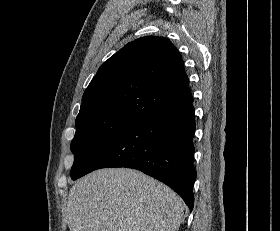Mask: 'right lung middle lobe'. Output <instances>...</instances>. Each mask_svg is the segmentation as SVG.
<instances>
[{"instance_id":"dd1d6c3e","label":"right lung middle lobe","mask_w":280,"mask_h":231,"mask_svg":"<svg viewBox=\"0 0 280 231\" xmlns=\"http://www.w3.org/2000/svg\"><path fill=\"white\" fill-rule=\"evenodd\" d=\"M139 121L126 117L76 120V133L71 142L75 155L71 178L78 176L109 144Z\"/></svg>"}]
</instances>
